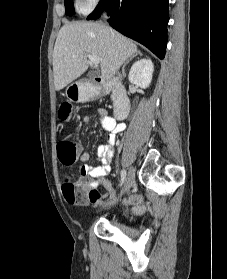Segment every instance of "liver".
Listing matches in <instances>:
<instances>
[{
	"mask_svg": "<svg viewBox=\"0 0 227 279\" xmlns=\"http://www.w3.org/2000/svg\"><path fill=\"white\" fill-rule=\"evenodd\" d=\"M136 52L132 40L103 23H66L58 33L53 51L55 89L60 91L88 69V54L99 57L102 77L110 80Z\"/></svg>",
	"mask_w": 227,
	"mask_h": 279,
	"instance_id": "liver-1",
	"label": "liver"
}]
</instances>
